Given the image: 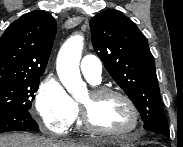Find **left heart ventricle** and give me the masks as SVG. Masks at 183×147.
<instances>
[{"mask_svg": "<svg viewBox=\"0 0 183 147\" xmlns=\"http://www.w3.org/2000/svg\"><path fill=\"white\" fill-rule=\"evenodd\" d=\"M81 103L90 107L93 121L101 128L126 131L133 126L132 113L126 102L118 96L93 99L89 92Z\"/></svg>", "mask_w": 183, "mask_h": 147, "instance_id": "obj_1", "label": "left heart ventricle"}]
</instances>
